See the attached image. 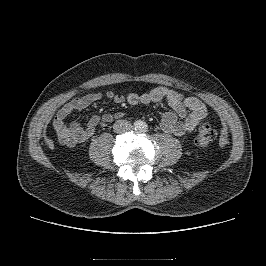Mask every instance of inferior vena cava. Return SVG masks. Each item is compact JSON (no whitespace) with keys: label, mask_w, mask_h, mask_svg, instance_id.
Masks as SVG:
<instances>
[{"label":"inferior vena cava","mask_w":266,"mask_h":266,"mask_svg":"<svg viewBox=\"0 0 266 266\" xmlns=\"http://www.w3.org/2000/svg\"><path fill=\"white\" fill-rule=\"evenodd\" d=\"M113 128L116 133H125L132 129V125L127 120H118L115 122Z\"/></svg>","instance_id":"1"}]
</instances>
